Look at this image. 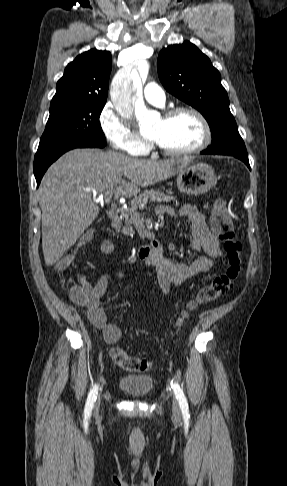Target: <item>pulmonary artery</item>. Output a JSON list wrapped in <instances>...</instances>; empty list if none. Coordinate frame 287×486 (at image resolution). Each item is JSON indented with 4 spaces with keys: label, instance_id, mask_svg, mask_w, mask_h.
<instances>
[{
    "label": "pulmonary artery",
    "instance_id": "pulmonary-artery-1",
    "mask_svg": "<svg viewBox=\"0 0 287 486\" xmlns=\"http://www.w3.org/2000/svg\"><path fill=\"white\" fill-rule=\"evenodd\" d=\"M144 98L151 104L162 106L165 103L163 89L156 83H148L143 91Z\"/></svg>",
    "mask_w": 287,
    "mask_h": 486
}]
</instances>
